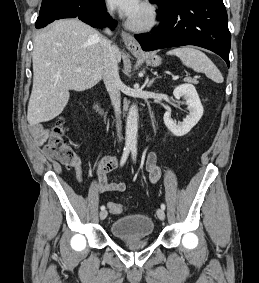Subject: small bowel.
<instances>
[{
    "label": "small bowel",
    "instance_id": "1",
    "mask_svg": "<svg viewBox=\"0 0 259 283\" xmlns=\"http://www.w3.org/2000/svg\"><path fill=\"white\" fill-rule=\"evenodd\" d=\"M30 133L33 137V140L36 145H43L47 139L50 137L51 129L45 128L41 124L32 125L30 128ZM119 164V160L116 157L110 155H104L99 163L96 165L93 176L97 179L95 184V190L100 194L105 193H114V192H123L126 190V184L122 181H110L108 180V174L116 169ZM76 175L78 179L82 180V167L78 163L74 166ZM146 168L149 172V179L152 183H155L159 180L161 176L160 168L157 164V158L154 153H150L147 156Z\"/></svg>",
    "mask_w": 259,
    "mask_h": 283
}]
</instances>
